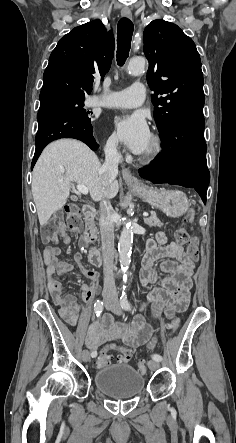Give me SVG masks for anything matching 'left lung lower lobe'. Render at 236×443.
Segmentation results:
<instances>
[{"label": "left lung lower lobe", "mask_w": 236, "mask_h": 443, "mask_svg": "<svg viewBox=\"0 0 236 443\" xmlns=\"http://www.w3.org/2000/svg\"><path fill=\"white\" fill-rule=\"evenodd\" d=\"M203 112L187 111L172 119L160 134L162 152L139 174L153 183L194 188L206 203L210 181L204 140Z\"/></svg>", "instance_id": "1"}]
</instances>
